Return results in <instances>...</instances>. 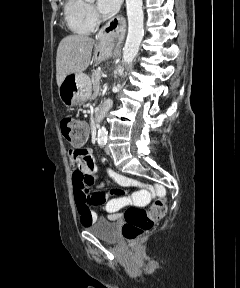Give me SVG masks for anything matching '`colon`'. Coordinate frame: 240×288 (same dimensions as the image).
Segmentation results:
<instances>
[{
	"label": "colon",
	"mask_w": 240,
	"mask_h": 288,
	"mask_svg": "<svg viewBox=\"0 0 240 288\" xmlns=\"http://www.w3.org/2000/svg\"><path fill=\"white\" fill-rule=\"evenodd\" d=\"M63 137L71 143L87 138V127L83 121L72 117H64L60 122ZM165 199H157L148 209L130 207L124 215L122 235L130 243L135 242L145 232L150 230L166 212Z\"/></svg>",
	"instance_id": "1"
}]
</instances>
